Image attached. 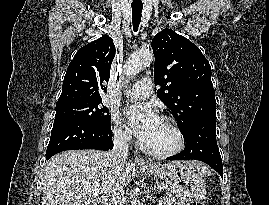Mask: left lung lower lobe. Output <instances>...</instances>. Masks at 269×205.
I'll return each mask as SVG.
<instances>
[{
	"mask_svg": "<svg viewBox=\"0 0 269 205\" xmlns=\"http://www.w3.org/2000/svg\"><path fill=\"white\" fill-rule=\"evenodd\" d=\"M216 120L206 119L194 124L185 135L184 150L167 160H200L223 177V164L216 142Z\"/></svg>",
	"mask_w": 269,
	"mask_h": 205,
	"instance_id": "left-lung-lower-lobe-1",
	"label": "left lung lower lobe"
}]
</instances>
